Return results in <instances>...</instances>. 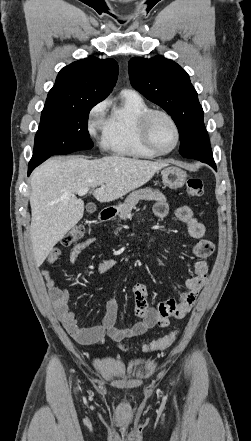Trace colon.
<instances>
[{"mask_svg": "<svg viewBox=\"0 0 251 441\" xmlns=\"http://www.w3.org/2000/svg\"><path fill=\"white\" fill-rule=\"evenodd\" d=\"M187 194L191 197H201L204 193L203 182L199 178H189L187 180ZM87 230L84 225H76L71 230H69L61 239V244L63 246H70L77 241H79L85 234ZM178 331L174 330L162 338L153 341L149 345L142 348L144 352H157L162 351L169 346H171L176 340ZM127 350V348L123 347Z\"/></svg>", "mask_w": 251, "mask_h": 441, "instance_id": "1", "label": "colon"}]
</instances>
